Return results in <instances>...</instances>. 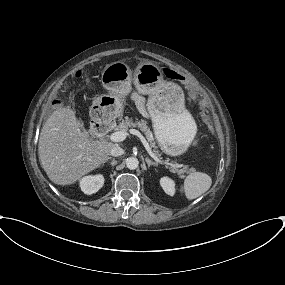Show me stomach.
Listing matches in <instances>:
<instances>
[{
    "instance_id": "0dacf381",
    "label": "stomach",
    "mask_w": 285,
    "mask_h": 285,
    "mask_svg": "<svg viewBox=\"0 0 285 285\" xmlns=\"http://www.w3.org/2000/svg\"><path fill=\"white\" fill-rule=\"evenodd\" d=\"M109 91L97 97L90 107V117L97 124H107L123 113V102L132 90V83L142 95H148L147 109L156 140L167 155L179 156L190 146L196 124L184 106V93L173 82H167L158 65L146 61L134 71L124 62L106 65L101 75Z\"/></svg>"
}]
</instances>
